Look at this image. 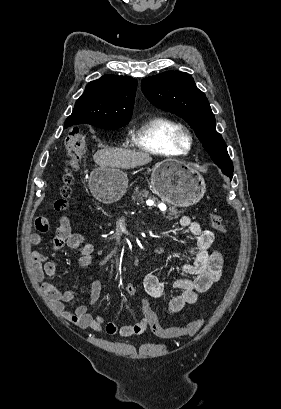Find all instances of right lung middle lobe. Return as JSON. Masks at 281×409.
I'll use <instances>...</instances> for the list:
<instances>
[{
    "label": "right lung middle lobe",
    "mask_w": 281,
    "mask_h": 409,
    "mask_svg": "<svg viewBox=\"0 0 281 409\" xmlns=\"http://www.w3.org/2000/svg\"><path fill=\"white\" fill-rule=\"evenodd\" d=\"M126 124L127 123H124V124H104V125H93V126H96L98 128H102V129L112 130V129H118V128L122 127V126H125Z\"/></svg>",
    "instance_id": "obj_1"
}]
</instances>
